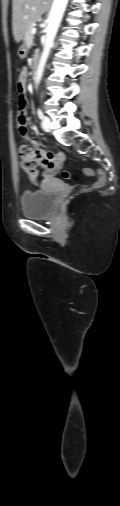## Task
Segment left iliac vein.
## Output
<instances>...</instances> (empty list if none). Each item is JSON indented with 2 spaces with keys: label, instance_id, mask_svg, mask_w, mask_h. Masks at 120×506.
I'll return each instance as SVG.
<instances>
[{
  "label": "left iliac vein",
  "instance_id": "1",
  "mask_svg": "<svg viewBox=\"0 0 120 506\" xmlns=\"http://www.w3.org/2000/svg\"><path fill=\"white\" fill-rule=\"evenodd\" d=\"M42 126H43V128H44L45 131H50V129H51V120H50V118H48V117L45 116L43 118V121H42Z\"/></svg>",
  "mask_w": 120,
  "mask_h": 506
}]
</instances>
